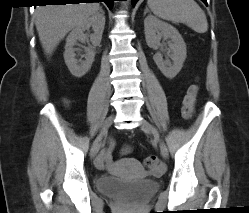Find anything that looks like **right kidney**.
Listing matches in <instances>:
<instances>
[{"label": "right kidney", "instance_id": "obj_1", "mask_svg": "<svg viewBox=\"0 0 249 213\" xmlns=\"http://www.w3.org/2000/svg\"><path fill=\"white\" fill-rule=\"evenodd\" d=\"M104 26L105 16L104 14L97 12L74 27L67 36L64 60L73 76L80 78L90 70L95 57V47L101 43ZM90 27L93 28L94 33L91 35L85 34L84 32L89 30ZM88 38L90 39L92 46L85 50V60L78 62L75 58V52L78 51V49L74 48V46L77 41L85 42Z\"/></svg>", "mask_w": 249, "mask_h": 213}]
</instances>
